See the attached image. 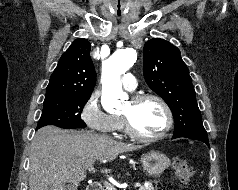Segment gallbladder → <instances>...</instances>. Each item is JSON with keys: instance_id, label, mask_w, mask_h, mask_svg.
Returning <instances> with one entry per match:
<instances>
[{"instance_id": "bac80fb5", "label": "gallbladder", "mask_w": 238, "mask_h": 190, "mask_svg": "<svg viewBox=\"0 0 238 190\" xmlns=\"http://www.w3.org/2000/svg\"><path fill=\"white\" fill-rule=\"evenodd\" d=\"M63 190H77V185L70 183V184L66 185Z\"/></svg>"}]
</instances>
